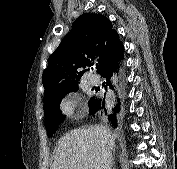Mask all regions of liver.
Returning <instances> with one entry per match:
<instances>
[{"label": "liver", "mask_w": 177, "mask_h": 169, "mask_svg": "<svg viewBox=\"0 0 177 169\" xmlns=\"http://www.w3.org/2000/svg\"><path fill=\"white\" fill-rule=\"evenodd\" d=\"M102 166L101 144L95 128H82L60 138L50 169H102Z\"/></svg>", "instance_id": "1"}]
</instances>
